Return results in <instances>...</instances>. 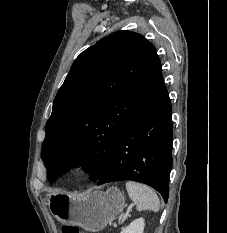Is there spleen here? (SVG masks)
<instances>
[{
	"mask_svg": "<svg viewBox=\"0 0 227 233\" xmlns=\"http://www.w3.org/2000/svg\"><path fill=\"white\" fill-rule=\"evenodd\" d=\"M126 189L130 199L136 204L138 211L151 210L153 212H158L160 200L149 186L128 181L126 182Z\"/></svg>",
	"mask_w": 227,
	"mask_h": 233,
	"instance_id": "obj_1",
	"label": "spleen"
}]
</instances>
